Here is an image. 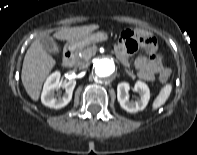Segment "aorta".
Listing matches in <instances>:
<instances>
[{"label": "aorta", "mask_w": 197, "mask_h": 155, "mask_svg": "<svg viewBox=\"0 0 197 155\" xmlns=\"http://www.w3.org/2000/svg\"><path fill=\"white\" fill-rule=\"evenodd\" d=\"M93 69L97 78H105L115 71V64L112 59L98 58L94 61Z\"/></svg>", "instance_id": "aorta-1"}]
</instances>
